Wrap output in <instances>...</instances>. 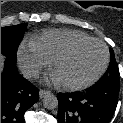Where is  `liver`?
<instances>
[{
    "instance_id": "obj_1",
    "label": "liver",
    "mask_w": 123,
    "mask_h": 123,
    "mask_svg": "<svg viewBox=\"0 0 123 123\" xmlns=\"http://www.w3.org/2000/svg\"><path fill=\"white\" fill-rule=\"evenodd\" d=\"M4 56L3 55H1V71H2V67H3V61H4Z\"/></svg>"
}]
</instances>
